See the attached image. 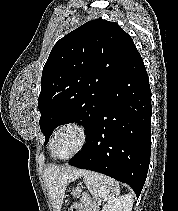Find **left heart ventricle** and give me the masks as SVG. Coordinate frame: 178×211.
I'll use <instances>...</instances> for the list:
<instances>
[{
    "label": "left heart ventricle",
    "mask_w": 178,
    "mask_h": 211,
    "mask_svg": "<svg viewBox=\"0 0 178 211\" xmlns=\"http://www.w3.org/2000/svg\"><path fill=\"white\" fill-rule=\"evenodd\" d=\"M79 136L73 129L61 131L55 141V151L59 156L70 154L78 145Z\"/></svg>",
    "instance_id": "1"
}]
</instances>
